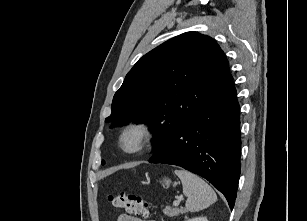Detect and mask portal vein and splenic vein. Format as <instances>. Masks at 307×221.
<instances>
[{
	"label": "portal vein and splenic vein",
	"instance_id": "obj_1",
	"mask_svg": "<svg viewBox=\"0 0 307 221\" xmlns=\"http://www.w3.org/2000/svg\"><path fill=\"white\" fill-rule=\"evenodd\" d=\"M173 205H174V206H178V205H179V201H174V202H173Z\"/></svg>",
	"mask_w": 307,
	"mask_h": 221
}]
</instances>
